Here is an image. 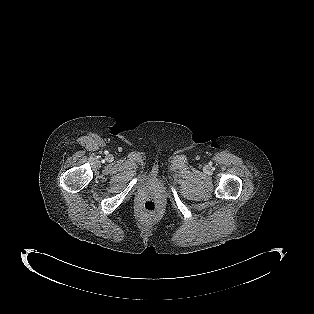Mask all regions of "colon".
I'll list each match as a JSON object with an SVG mask.
<instances>
[{"label":"colon","instance_id":"obj_1","mask_svg":"<svg viewBox=\"0 0 314 314\" xmlns=\"http://www.w3.org/2000/svg\"><path fill=\"white\" fill-rule=\"evenodd\" d=\"M142 212L146 216L154 217V216L158 215L159 210H158V207L154 201L148 200V201L144 202V204L142 205Z\"/></svg>","mask_w":314,"mask_h":314}]
</instances>
